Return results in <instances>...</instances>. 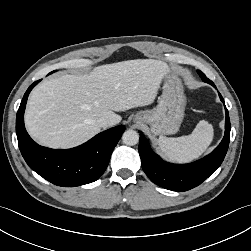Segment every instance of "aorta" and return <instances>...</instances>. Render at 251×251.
I'll return each mask as SVG.
<instances>
[{"instance_id": "762f6f07", "label": "aorta", "mask_w": 251, "mask_h": 251, "mask_svg": "<svg viewBox=\"0 0 251 251\" xmlns=\"http://www.w3.org/2000/svg\"><path fill=\"white\" fill-rule=\"evenodd\" d=\"M122 141L126 145H135L139 142V134L134 130H127L122 135Z\"/></svg>"}]
</instances>
